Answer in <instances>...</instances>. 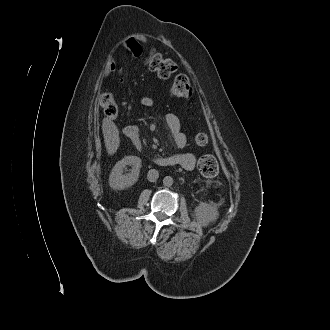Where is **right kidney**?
<instances>
[{"label":"right kidney","instance_id":"obj_1","mask_svg":"<svg viewBox=\"0 0 330 330\" xmlns=\"http://www.w3.org/2000/svg\"><path fill=\"white\" fill-rule=\"evenodd\" d=\"M127 165L131 166L129 173L123 174L127 169ZM141 168V159L137 156H126L118 161L112 168L109 175V185L114 190H123L134 185L139 178Z\"/></svg>","mask_w":330,"mask_h":330}]
</instances>
